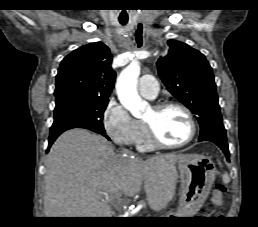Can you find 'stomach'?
Masks as SVG:
<instances>
[{"label":"stomach","mask_w":258,"mask_h":227,"mask_svg":"<svg viewBox=\"0 0 258 227\" xmlns=\"http://www.w3.org/2000/svg\"><path fill=\"white\" fill-rule=\"evenodd\" d=\"M177 168L181 186L179 210L168 217H187L195 214L209 195L216 169L209 157L200 154L186 155L177 162Z\"/></svg>","instance_id":"stomach-1"}]
</instances>
